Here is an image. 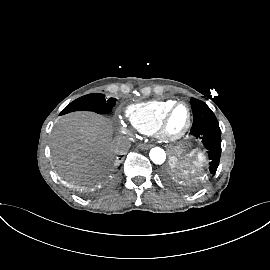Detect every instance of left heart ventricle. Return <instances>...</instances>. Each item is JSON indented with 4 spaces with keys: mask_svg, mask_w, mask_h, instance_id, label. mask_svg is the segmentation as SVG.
<instances>
[{
    "mask_svg": "<svg viewBox=\"0 0 270 270\" xmlns=\"http://www.w3.org/2000/svg\"><path fill=\"white\" fill-rule=\"evenodd\" d=\"M188 112L186 107L178 106L171 114L167 129L170 133L179 132L187 122Z\"/></svg>",
    "mask_w": 270,
    "mask_h": 270,
    "instance_id": "left-heart-ventricle-1",
    "label": "left heart ventricle"
}]
</instances>
